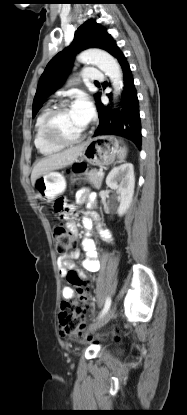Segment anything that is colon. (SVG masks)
<instances>
[{
	"mask_svg": "<svg viewBox=\"0 0 187 415\" xmlns=\"http://www.w3.org/2000/svg\"><path fill=\"white\" fill-rule=\"evenodd\" d=\"M61 210L67 209L66 201H58ZM56 242L57 253L66 255L74 244V237L62 224H54L52 227ZM69 283L75 288L77 299L64 300L59 311L60 336L81 335L85 331V316L89 309V284L77 272L72 271L67 276ZM118 337V333H114Z\"/></svg>",
	"mask_w": 187,
	"mask_h": 415,
	"instance_id": "5ec220e1",
	"label": "colon"
}]
</instances>
